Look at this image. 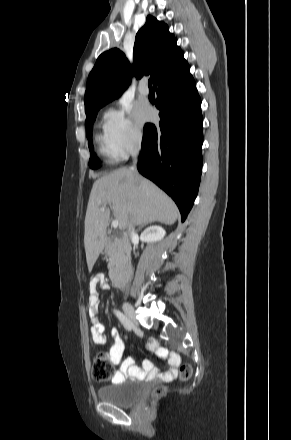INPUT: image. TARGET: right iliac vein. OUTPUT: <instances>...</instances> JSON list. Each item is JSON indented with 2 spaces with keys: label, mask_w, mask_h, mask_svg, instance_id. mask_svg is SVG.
<instances>
[{
  "label": "right iliac vein",
  "mask_w": 291,
  "mask_h": 440,
  "mask_svg": "<svg viewBox=\"0 0 291 440\" xmlns=\"http://www.w3.org/2000/svg\"><path fill=\"white\" fill-rule=\"evenodd\" d=\"M123 310L125 312V314L127 315V317L134 323H136L135 320V312H134V308L132 307L131 304L125 302L123 304Z\"/></svg>",
  "instance_id": "63e3f726"
}]
</instances>
